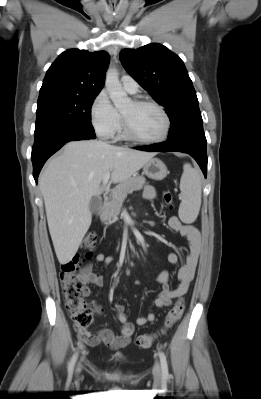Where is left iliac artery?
<instances>
[{
  "mask_svg": "<svg viewBox=\"0 0 261 399\" xmlns=\"http://www.w3.org/2000/svg\"><path fill=\"white\" fill-rule=\"evenodd\" d=\"M159 357H160V362H161L162 375H163V377H168L169 372H168V364H167L166 356L163 352H159Z\"/></svg>",
  "mask_w": 261,
  "mask_h": 399,
  "instance_id": "obj_1",
  "label": "left iliac artery"
}]
</instances>
